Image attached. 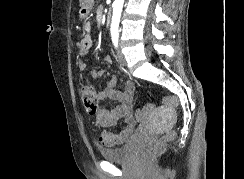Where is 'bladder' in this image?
I'll return each mask as SVG.
<instances>
[{"label":"bladder","mask_w":244,"mask_h":179,"mask_svg":"<svg viewBox=\"0 0 244 179\" xmlns=\"http://www.w3.org/2000/svg\"><path fill=\"white\" fill-rule=\"evenodd\" d=\"M130 141H128L124 146H118L115 148H100V157L107 161L127 159L132 152Z\"/></svg>","instance_id":"bladder-1"}]
</instances>
